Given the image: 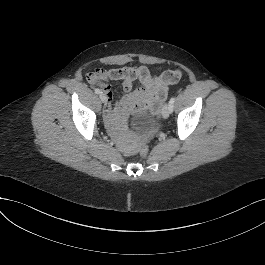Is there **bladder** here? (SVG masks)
Instances as JSON below:
<instances>
[{
    "label": "bladder",
    "mask_w": 265,
    "mask_h": 265,
    "mask_svg": "<svg viewBox=\"0 0 265 265\" xmlns=\"http://www.w3.org/2000/svg\"><path fill=\"white\" fill-rule=\"evenodd\" d=\"M156 124L155 114L147 115L145 118L137 123V129L139 131H146Z\"/></svg>",
    "instance_id": "obj_1"
}]
</instances>
